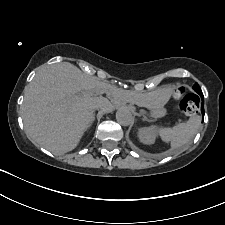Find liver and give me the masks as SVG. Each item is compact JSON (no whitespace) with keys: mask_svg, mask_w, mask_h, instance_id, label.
Returning <instances> with one entry per match:
<instances>
[{"mask_svg":"<svg viewBox=\"0 0 225 225\" xmlns=\"http://www.w3.org/2000/svg\"><path fill=\"white\" fill-rule=\"evenodd\" d=\"M103 93L115 104L144 106L146 97L99 81L68 62L40 68L24 90L21 110L28 139L56 155L72 151L90 127L96 106L111 110Z\"/></svg>","mask_w":225,"mask_h":225,"instance_id":"liver-1","label":"liver"}]
</instances>
